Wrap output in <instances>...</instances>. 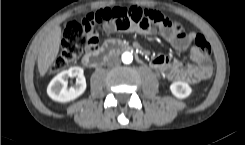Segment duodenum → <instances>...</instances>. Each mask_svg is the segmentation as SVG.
Instances as JSON below:
<instances>
[{"label":"duodenum","instance_id":"410a0bca","mask_svg":"<svg viewBox=\"0 0 245 145\" xmlns=\"http://www.w3.org/2000/svg\"><path fill=\"white\" fill-rule=\"evenodd\" d=\"M135 48L136 46L127 45L122 43L121 41L111 39L106 41L98 48L89 49L83 56V63L87 67L97 68L101 64H103L106 58L110 56L113 52L128 51L136 54Z\"/></svg>","mask_w":245,"mask_h":145}]
</instances>
